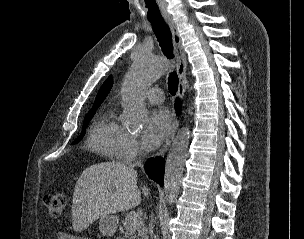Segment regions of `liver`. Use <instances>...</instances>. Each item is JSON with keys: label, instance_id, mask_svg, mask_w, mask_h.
<instances>
[{"label": "liver", "instance_id": "1", "mask_svg": "<svg viewBox=\"0 0 304 239\" xmlns=\"http://www.w3.org/2000/svg\"><path fill=\"white\" fill-rule=\"evenodd\" d=\"M142 193L148 197L149 189L144 186ZM140 200L133 166L120 162L92 165L82 172L75 185L73 228L81 232L99 217L132 209Z\"/></svg>", "mask_w": 304, "mask_h": 239}]
</instances>
